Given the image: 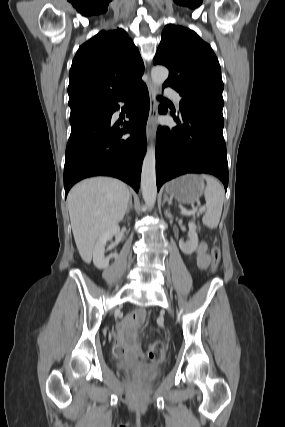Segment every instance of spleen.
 Returning <instances> with one entry per match:
<instances>
[{
    "label": "spleen",
    "mask_w": 285,
    "mask_h": 427,
    "mask_svg": "<svg viewBox=\"0 0 285 427\" xmlns=\"http://www.w3.org/2000/svg\"><path fill=\"white\" fill-rule=\"evenodd\" d=\"M201 177L207 182V186L204 191L207 210L202 221L208 228L213 229L218 226L220 221L224 201V191L221 184L214 177L209 175H201Z\"/></svg>",
    "instance_id": "3e777b00"
}]
</instances>
